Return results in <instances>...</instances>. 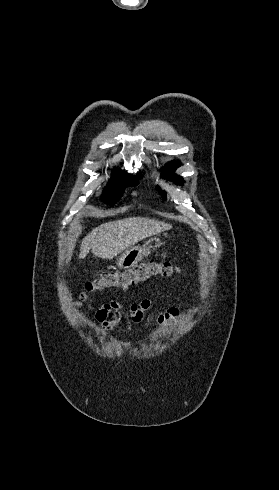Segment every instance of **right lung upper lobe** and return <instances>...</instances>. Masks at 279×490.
Returning a JSON list of instances; mask_svg holds the SVG:
<instances>
[{"mask_svg": "<svg viewBox=\"0 0 279 490\" xmlns=\"http://www.w3.org/2000/svg\"><path fill=\"white\" fill-rule=\"evenodd\" d=\"M118 176H121V173L119 170H115V172L112 174V178H116Z\"/></svg>", "mask_w": 279, "mask_h": 490, "instance_id": "right-lung-upper-lobe-1", "label": "right lung upper lobe"}]
</instances>
